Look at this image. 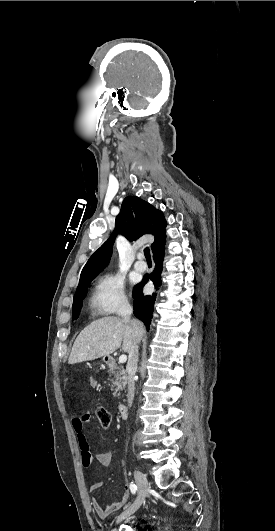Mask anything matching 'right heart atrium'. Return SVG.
<instances>
[{
	"mask_svg": "<svg viewBox=\"0 0 275 531\" xmlns=\"http://www.w3.org/2000/svg\"><path fill=\"white\" fill-rule=\"evenodd\" d=\"M126 304L124 280L121 275L108 273L96 280L91 305L97 313H115Z\"/></svg>",
	"mask_w": 275,
	"mask_h": 531,
	"instance_id": "obj_1",
	"label": "right heart atrium"
}]
</instances>
